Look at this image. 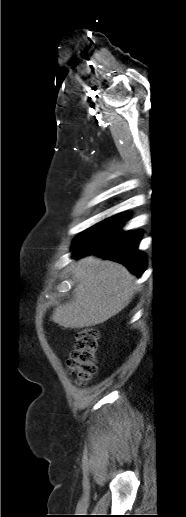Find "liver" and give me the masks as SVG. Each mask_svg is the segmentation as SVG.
Listing matches in <instances>:
<instances>
[{"mask_svg": "<svg viewBox=\"0 0 186 517\" xmlns=\"http://www.w3.org/2000/svg\"><path fill=\"white\" fill-rule=\"evenodd\" d=\"M73 297L55 308L52 321L65 328H84L107 321L134 297L136 277L116 262L87 256L75 262Z\"/></svg>", "mask_w": 186, "mask_h": 517, "instance_id": "1", "label": "liver"}]
</instances>
